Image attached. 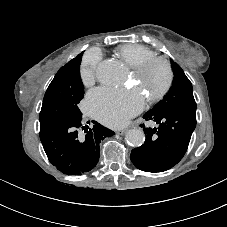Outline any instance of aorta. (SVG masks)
<instances>
[{"instance_id": "obj_1", "label": "aorta", "mask_w": 227, "mask_h": 227, "mask_svg": "<svg viewBox=\"0 0 227 227\" xmlns=\"http://www.w3.org/2000/svg\"><path fill=\"white\" fill-rule=\"evenodd\" d=\"M121 75V65L113 59L102 61L97 69V77L103 84L115 85L121 80ZM126 140L131 146L139 147L145 141V134L141 129H130L126 133Z\"/></svg>"}]
</instances>
